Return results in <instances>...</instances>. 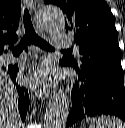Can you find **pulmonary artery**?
I'll use <instances>...</instances> for the list:
<instances>
[{
  "instance_id": "e3ab8cb5",
  "label": "pulmonary artery",
  "mask_w": 125,
  "mask_h": 128,
  "mask_svg": "<svg viewBox=\"0 0 125 128\" xmlns=\"http://www.w3.org/2000/svg\"><path fill=\"white\" fill-rule=\"evenodd\" d=\"M54 46L56 48H67L73 45V39L69 34H57L53 36ZM4 61L6 63H11L14 61L12 56H5Z\"/></svg>"
}]
</instances>
